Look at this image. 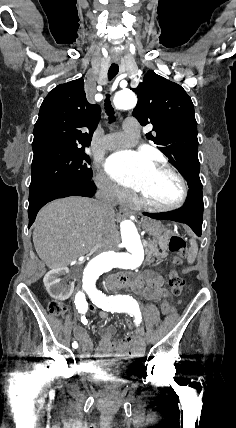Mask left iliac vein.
I'll return each instance as SVG.
<instances>
[{
	"instance_id": "left-iliac-vein-1",
	"label": "left iliac vein",
	"mask_w": 236,
	"mask_h": 428,
	"mask_svg": "<svg viewBox=\"0 0 236 428\" xmlns=\"http://www.w3.org/2000/svg\"><path fill=\"white\" fill-rule=\"evenodd\" d=\"M145 339L150 343L152 340H151V336L150 335H146L145 336Z\"/></svg>"
}]
</instances>
